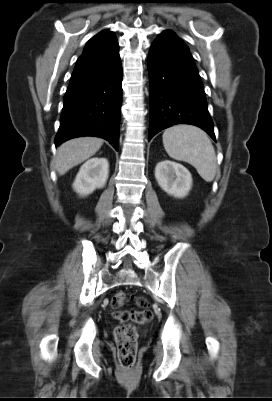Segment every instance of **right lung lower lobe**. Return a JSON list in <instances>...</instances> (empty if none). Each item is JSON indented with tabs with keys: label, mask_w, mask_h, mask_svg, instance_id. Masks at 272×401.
Masks as SVG:
<instances>
[{
	"label": "right lung lower lobe",
	"mask_w": 272,
	"mask_h": 401,
	"mask_svg": "<svg viewBox=\"0 0 272 401\" xmlns=\"http://www.w3.org/2000/svg\"><path fill=\"white\" fill-rule=\"evenodd\" d=\"M121 83L118 44L100 58L74 69L64 97L56 146L75 137L95 136L118 150Z\"/></svg>",
	"instance_id": "right-lung-lower-lobe-1"
}]
</instances>
